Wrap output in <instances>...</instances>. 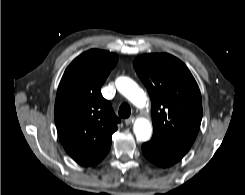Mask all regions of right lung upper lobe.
I'll return each mask as SVG.
<instances>
[{"mask_svg": "<svg viewBox=\"0 0 245 195\" xmlns=\"http://www.w3.org/2000/svg\"><path fill=\"white\" fill-rule=\"evenodd\" d=\"M118 56L91 49L67 67L57 90L55 123L66 152L80 165L99 163L108 153L119 118L101 94Z\"/></svg>", "mask_w": 245, "mask_h": 195, "instance_id": "obj_1", "label": "right lung upper lobe"}]
</instances>
